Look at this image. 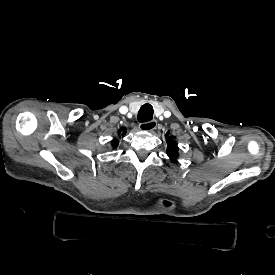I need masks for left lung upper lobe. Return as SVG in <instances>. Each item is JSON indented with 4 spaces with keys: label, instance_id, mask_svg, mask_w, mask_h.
Listing matches in <instances>:
<instances>
[{
    "label": "left lung upper lobe",
    "instance_id": "obj_1",
    "mask_svg": "<svg viewBox=\"0 0 275 275\" xmlns=\"http://www.w3.org/2000/svg\"><path fill=\"white\" fill-rule=\"evenodd\" d=\"M166 142L168 145L166 153H167L168 157L172 161H174L179 156L178 146H177V142L174 140V138L169 136V132L166 133Z\"/></svg>",
    "mask_w": 275,
    "mask_h": 275
}]
</instances>
